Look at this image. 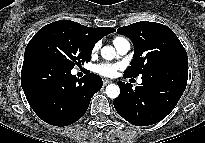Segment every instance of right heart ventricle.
Returning <instances> with one entry per match:
<instances>
[{"mask_svg":"<svg viewBox=\"0 0 205 143\" xmlns=\"http://www.w3.org/2000/svg\"><path fill=\"white\" fill-rule=\"evenodd\" d=\"M122 39H124V38H122V37H115V38L113 39V44H116L118 41H120V40H122Z\"/></svg>","mask_w":205,"mask_h":143,"instance_id":"right-heart-ventricle-1","label":"right heart ventricle"}]
</instances>
